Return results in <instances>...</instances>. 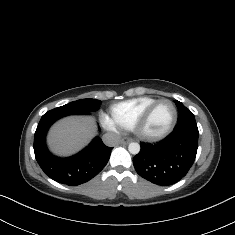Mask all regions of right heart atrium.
Listing matches in <instances>:
<instances>
[{
    "mask_svg": "<svg viewBox=\"0 0 235 235\" xmlns=\"http://www.w3.org/2000/svg\"><path fill=\"white\" fill-rule=\"evenodd\" d=\"M99 119L106 126L107 129L111 131L119 130V125L113 119L108 118L102 111L99 114Z\"/></svg>",
    "mask_w": 235,
    "mask_h": 235,
    "instance_id": "right-heart-atrium-1",
    "label": "right heart atrium"
}]
</instances>
